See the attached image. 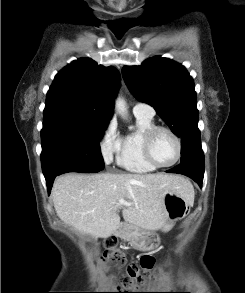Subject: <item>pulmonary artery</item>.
I'll return each instance as SVG.
<instances>
[{
	"instance_id": "e3ab8cb5",
	"label": "pulmonary artery",
	"mask_w": 245,
	"mask_h": 293,
	"mask_svg": "<svg viewBox=\"0 0 245 293\" xmlns=\"http://www.w3.org/2000/svg\"><path fill=\"white\" fill-rule=\"evenodd\" d=\"M134 114L154 115V109L147 103L138 102L133 107Z\"/></svg>"
}]
</instances>
